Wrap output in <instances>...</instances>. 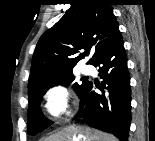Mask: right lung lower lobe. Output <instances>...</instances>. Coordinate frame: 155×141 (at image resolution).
<instances>
[{
  "mask_svg": "<svg viewBox=\"0 0 155 141\" xmlns=\"http://www.w3.org/2000/svg\"><path fill=\"white\" fill-rule=\"evenodd\" d=\"M118 32L92 63L99 66L102 86L88 81L79 94L80 111L89 126L127 141L131 123V89L127 58ZM95 87L101 94L94 91Z\"/></svg>",
  "mask_w": 155,
  "mask_h": 141,
  "instance_id": "obj_1",
  "label": "right lung lower lobe"
}]
</instances>
